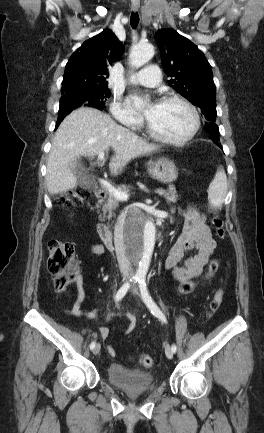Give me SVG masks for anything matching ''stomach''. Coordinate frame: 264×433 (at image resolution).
Here are the masks:
<instances>
[{
  "instance_id": "1",
  "label": "stomach",
  "mask_w": 264,
  "mask_h": 433,
  "mask_svg": "<svg viewBox=\"0 0 264 433\" xmlns=\"http://www.w3.org/2000/svg\"><path fill=\"white\" fill-rule=\"evenodd\" d=\"M149 175L162 183H171L178 177V169L174 161L168 158H160L147 163Z\"/></svg>"
}]
</instances>
